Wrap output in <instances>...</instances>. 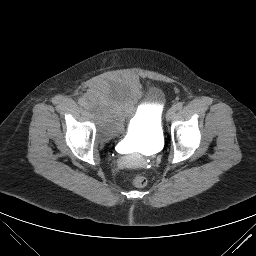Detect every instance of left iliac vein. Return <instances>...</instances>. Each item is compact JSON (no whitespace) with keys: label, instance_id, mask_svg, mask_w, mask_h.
Listing matches in <instances>:
<instances>
[{"label":"left iliac vein","instance_id":"1","mask_svg":"<svg viewBox=\"0 0 256 256\" xmlns=\"http://www.w3.org/2000/svg\"><path fill=\"white\" fill-rule=\"evenodd\" d=\"M176 109L174 107H171L167 113H166V119L169 121L171 120L175 115Z\"/></svg>","mask_w":256,"mask_h":256}]
</instances>
